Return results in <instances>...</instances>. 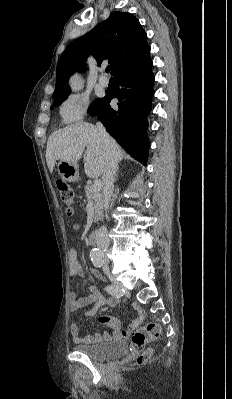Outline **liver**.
<instances>
[{
    "label": "liver",
    "instance_id": "6515ba94",
    "mask_svg": "<svg viewBox=\"0 0 232 399\" xmlns=\"http://www.w3.org/2000/svg\"><path fill=\"white\" fill-rule=\"evenodd\" d=\"M109 150H114L118 162L123 160L121 148L115 140L111 138V146H106L96 126L87 122H75L49 136L46 148L48 170L52 174L57 160L77 164L84 152V170L87 178H99L105 170Z\"/></svg>",
    "mask_w": 232,
    "mask_h": 399
}]
</instances>
